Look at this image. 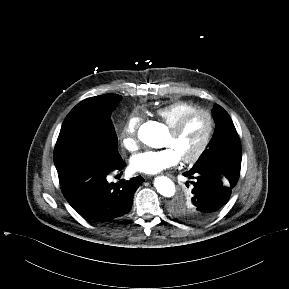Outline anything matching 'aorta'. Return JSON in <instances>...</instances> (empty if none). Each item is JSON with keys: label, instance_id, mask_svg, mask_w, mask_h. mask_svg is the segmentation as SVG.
<instances>
[{"label": "aorta", "instance_id": "obj_1", "mask_svg": "<svg viewBox=\"0 0 289 289\" xmlns=\"http://www.w3.org/2000/svg\"><path fill=\"white\" fill-rule=\"evenodd\" d=\"M166 134L164 125L151 121L145 123L139 129V139L146 145L153 148H160L162 138ZM154 185L158 193L164 197H173L176 192V188L171 179L165 176L157 177L154 181Z\"/></svg>", "mask_w": 289, "mask_h": 289}]
</instances>
